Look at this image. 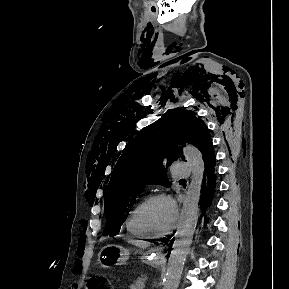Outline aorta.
<instances>
[{
    "label": "aorta",
    "instance_id": "aorta-1",
    "mask_svg": "<svg viewBox=\"0 0 289 289\" xmlns=\"http://www.w3.org/2000/svg\"><path fill=\"white\" fill-rule=\"evenodd\" d=\"M183 155L190 164L192 177L187 188L179 226L169 256L163 289H178L198 220L204 161L201 152L192 145L184 146Z\"/></svg>",
    "mask_w": 289,
    "mask_h": 289
}]
</instances>
